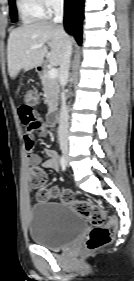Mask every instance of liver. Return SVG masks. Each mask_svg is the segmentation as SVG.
<instances>
[{"label": "liver", "mask_w": 134, "mask_h": 281, "mask_svg": "<svg viewBox=\"0 0 134 281\" xmlns=\"http://www.w3.org/2000/svg\"><path fill=\"white\" fill-rule=\"evenodd\" d=\"M66 41L72 44L71 38L64 29L49 21H38L14 29L9 35L7 45L10 77L15 79L22 69L28 71L41 66L46 55L51 65H60ZM47 43H49L50 52L45 46ZM36 44H44V46L27 52Z\"/></svg>", "instance_id": "1"}]
</instances>
